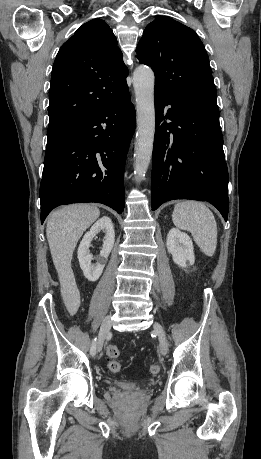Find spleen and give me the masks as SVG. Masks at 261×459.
<instances>
[{"label":"spleen","mask_w":261,"mask_h":459,"mask_svg":"<svg viewBox=\"0 0 261 459\" xmlns=\"http://www.w3.org/2000/svg\"><path fill=\"white\" fill-rule=\"evenodd\" d=\"M174 225L189 231L200 250L209 257L217 246V224L211 210L201 202L183 201L175 205L172 214Z\"/></svg>","instance_id":"obj_1"}]
</instances>
